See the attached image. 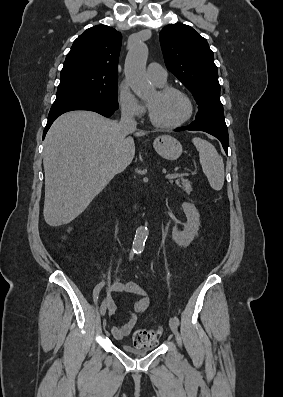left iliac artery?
I'll use <instances>...</instances> for the list:
<instances>
[{"label":"left iliac artery","mask_w":283,"mask_h":397,"mask_svg":"<svg viewBox=\"0 0 283 397\" xmlns=\"http://www.w3.org/2000/svg\"><path fill=\"white\" fill-rule=\"evenodd\" d=\"M140 253H141V251L138 252V254H140ZM174 318H175L177 325H179V319L176 316Z\"/></svg>","instance_id":"1"}]
</instances>
